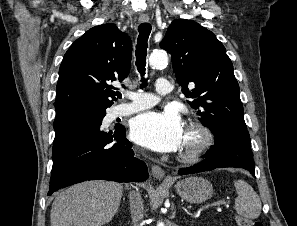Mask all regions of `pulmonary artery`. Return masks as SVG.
Masks as SVG:
<instances>
[{
	"label": "pulmonary artery",
	"mask_w": 297,
	"mask_h": 226,
	"mask_svg": "<svg viewBox=\"0 0 297 226\" xmlns=\"http://www.w3.org/2000/svg\"><path fill=\"white\" fill-rule=\"evenodd\" d=\"M172 91V85L166 78H159L156 82V93L158 95H168ZM131 99L129 103L116 105L112 108V116L122 117L131 113L150 108L158 103V97L152 93L133 92L129 93Z\"/></svg>",
	"instance_id": "e3ab8cb5"
}]
</instances>
